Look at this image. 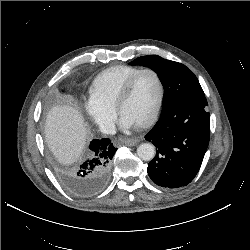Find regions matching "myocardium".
Instances as JSON below:
<instances>
[{
    "mask_svg": "<svg viewBox=\"0 0 250 250\" xmlns=\"http://www.w3.org/2000/svg\"><path fill=\"white\" fill-rule=\"evenodd\" d=\"M147 72L151 73L156 79V82L158 85V99H157L156 107L153 110L152 114L145 121H143L141 124H139L137 126V128H146V127H149L150 125H152L159 117L161 110L163 108L164 98H165V88H164V83L162 81V78L156 70H154L152 68H142V69L138 70L124 84V86L122 87L121 91L119 92V94L117 96L115 106H114V109L117 112V114L121 116V107L128 99L135 81L137 80V78L141 74L147 73Z\"/></svg>",
    "mask_w": 250,
    "mask_h": 250,
    "instance_id": "obj_1",
    "label": "myocardium"
}]
</instances>
